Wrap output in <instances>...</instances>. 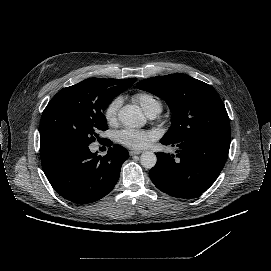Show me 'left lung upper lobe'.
I'll return each mask as SVG.
<instances>
[{
    "label": "left lung upper lobe",
    "mask_w": 271,
    "mask_h": 271,
    "mask_svg": "<svg viewBox=\"0 0 271 271\" xmlns=\"http://www.w3.org/2000/svg\"><path fill=\"white\" fill-rule=\"evenodd\" d=\"M137 87L165 100L174 115L163 140L182 142L207 132L231 135L225 106L210 85L178 73L144 79Z\"/></svg>",
    "instance_id": "left-lung-upper-lobe-1"
}]
</instances>
